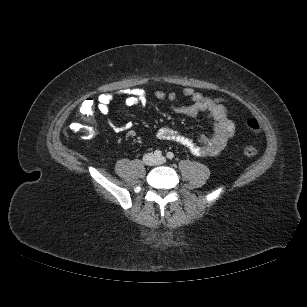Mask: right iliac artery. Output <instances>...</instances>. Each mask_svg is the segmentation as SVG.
<instances>
[{
    "label": "right iliac artery",
    "mask_w": 307,
    "mask_h": 307,
    "mask_svg": "<svg viewBox=\"0 0 307 307\" xmlns=\"http://www.w3.org/2000/svg\"><path fill=\"white\" fill-rule=\"evenodd\" d=\"M162 156V152L160 151V150H156L155 152H154V157L155 158H160Z\"/></svg>",
    "instance_id": "82829eb1"
}]
</instances>
